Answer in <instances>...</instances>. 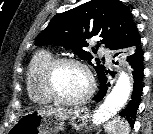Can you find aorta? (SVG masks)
Returning a JSON list of instances; mask_svg holds the SVG:
<instances>
[{
	"label": "aorta",
	"instance_id": "1",
	"mask_svg": "<svg viewBox=\"0 0 153 134\" xmlns=\"http://www.w3.org/2000/svg\"><path fill=\"white\" fill-rule=\"evenodd\" d=\"M132 91L129 75L122 71L112 91L106 96L104 103L94 115V123L101 124L120 111L128 101Z\"/></svg>",
	"mask_w": 153,
	"mask_h": 134
}]
</instances>
